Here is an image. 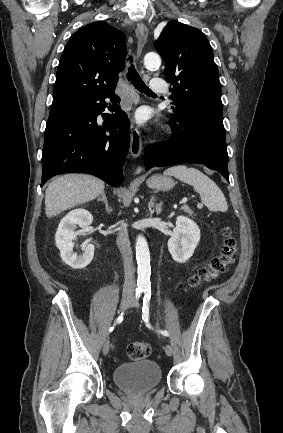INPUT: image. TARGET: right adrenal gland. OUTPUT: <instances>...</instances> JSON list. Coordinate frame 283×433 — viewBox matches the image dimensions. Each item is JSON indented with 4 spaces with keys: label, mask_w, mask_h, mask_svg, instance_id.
I'll return each mask as SVG.
<instances>
[{
    "label": "right adrenal gland",
    "mask_w": 283,
    "mask_h": 433,
    "mask_svg": "<svg viewBox=\"0 0 283 433\" xmlns=\"http://www.w3.org/2000/svg\"><path fill=\"white\" fill-rule=\"evenodd\" d=\"M97 200H102V202H105V208H106L107 212H109V214H110V212H112V208H111V206H109L108 200L106 198L105 190H102L101 196H97Z\"/></svg>",
    "instance_id": "obj_1"
}]
</instances>
